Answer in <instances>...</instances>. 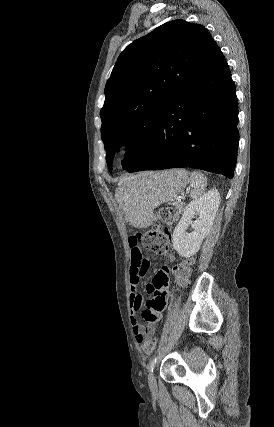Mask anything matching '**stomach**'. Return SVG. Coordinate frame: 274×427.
I'll return each mask as SVG.
<instances>
[{
    "label": "stomach",
    "mask_w": 274,
    "mask_h": 427,
    "mask_svg": "<svg viewBox=\"0 0 274 427\" xmlns=\"http://www.w3.org/2000/svg\"><path fill=\"white\" fill-rule=\"evenodd\" d=\"M189 180L186 170H166L156 174L148 172L135 176L132 186L125 184L119 190L123 192L120 202L125 215H132L136 227H147L152 223L154 208L182 194Z\"/></svg>",
    "instance_id": "1"
}]
</instances>
